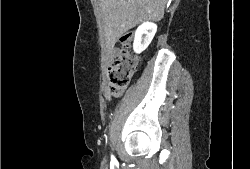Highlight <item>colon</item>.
<instances>
[{
  "mask_svg": "<svg viewBox=\"0 0 250 169\" xmlns=\"http://www.w3.org/2000/svg\"><path fill=\"white\" fill-rule=\"evenodd\" d=\"M134 34H120L117 38L119 43V54L112 61L106 74L108 91L112 96H121L138 66V57L130 52V43H133Z\"/></svg>",
  "mask_w": 250,
  "mask_h": 169,
  "instance_id": "1",
  "label": "colon"
}]
</instances>
